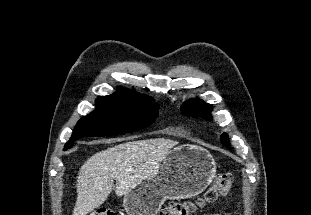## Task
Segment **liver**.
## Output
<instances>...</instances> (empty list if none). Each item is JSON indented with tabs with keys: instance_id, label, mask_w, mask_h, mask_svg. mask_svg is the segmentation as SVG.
<instances>
[{
	"instance_id": "obj_1",
	"label": "liver",
	"mask_w": 311,
	"mask_h": 215,
	"mask_svg": "<svg viewBox=\"0 0 311 215\" xmlns=\"http://www.w3.org/2000/svg\"><path fill=\"white\" fill-rule=\"evenodd\" d=\"M176 145L177 141L165 138L128 141L91 156L78 173L73 215H87L100 207L113 188L118 197L128 194Z\"/></svg>"
}]
</instances>
